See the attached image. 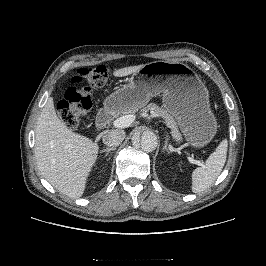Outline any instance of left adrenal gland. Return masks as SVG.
I'll use <instances>...</instances> for the list:
<instances>
[{"label":"left adrenal gland","instance_id":"1","mask_svg":"<svg viewBox=\"0 0 266 266\" xmlns=\"http://www.w3.org/2000/svg\"><path fill=\"white\" fill-rule=\"evenodd\" d=\"M167 145H168V141H167V139H166V140H165V143H164V146H163V152H164V151H167V153L169 154L170 151H169Z\"/></svg>","mask_w":266,"mask_h":266}]
</instances>
